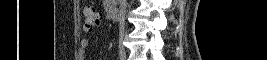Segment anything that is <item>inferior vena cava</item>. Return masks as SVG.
Instances as JSON below:
<instances>
[{
	"label": "inferior vena cava",
	"instance_id": "obj_1",
	"mask_svg": "<svg viewBox=\"0 0 267 60\" xmlns=\"http://www.w3.org/2000/svg\"><path fill=\"white\" fill-rule=\"evenodd\" d=\"M126 0H121V11H120V31L122 32L124 30V25H125V4Z\"/></svg>",
	"mask_w": 267,
	"mask_h": 60
}]
</instances>
